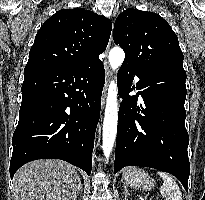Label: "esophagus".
Listing matches in <instances>:
<instances>
[{
    "mask_svg": "<svg viewBox=\"0 0 205 200\" xmlns=\"http://www.w3.org/2000/svg\"><path fill=\"white\" fill-rule=\"evenodd\" d=\"M112 38H113V35H112V32H111V36H110L107 48L105 50V56L106 57L108 55V52H109V49H110V46H111V43H112ZM104 65H105V70H106V84H105V89H104V93H103V96H102V107H104V104H105L106 89H107L108 82L110 80V75H111L110 65H109L107 59H105Z\"/></svg>",
    "mask_w": 205,
    "mask_h": 200,
    "instance_id": "esophagus-1",
    "label": "esophagus"
}]
</instances>
